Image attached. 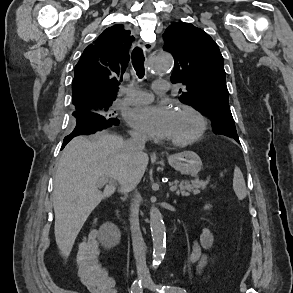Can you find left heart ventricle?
<instances>
[{"label": "left heart ventricle", "instance_id": "1", "mask_svg": "<svg viewBox=\"0 0 293 293\" xmlns=\"http://www.w3.org/2000/svg\"><path fill=\"white\" fill-rule=\"evenodd\" d=\"M197 129V121L194 117L183 112H174L169 140H182L192 136Z\"/></svg>", "mask_w": 293, "mask_h": 293}]
</instances>
